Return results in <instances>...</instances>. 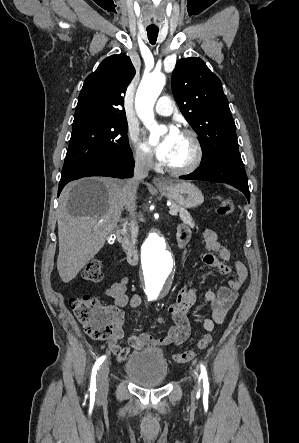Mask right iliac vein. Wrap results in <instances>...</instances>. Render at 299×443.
I'll use <instances>...</instances> for the list:
<instances>
[{
	"mask_svg": "<svg viewBox=\"0 0 299 443\" xmlns=\"http://www.w3.org/2000/svg\"><path fill=\"white\" fill-rule=\"evenodd\" d=\"M108 374H109V364L104 363L97 375V397L99 400H103L108 392Z\"/></svg>",
	"mask_w": 299,
	"mask_h": 443,
	"instance_id": "obj_1",
	"label": "right iliac vein"
}]
</instances>
